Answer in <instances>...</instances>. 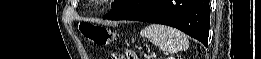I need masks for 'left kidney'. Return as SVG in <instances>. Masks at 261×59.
Wrapping results in <instances>:
<instances>
[{"label": "left kidney", "mask_w": 261, "mask_h": 59, "mask_svg": "<svg viewBox=\"0 0 261 59\" xmlns=\"http://www.w3.org/2000/svg\"><path fill=\"white\" fill-rule=\"evenodd\" d=\"M168 59H174V57H169Z\"/></svg>", "instance_id": "obj_1"}]
</instances>
